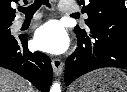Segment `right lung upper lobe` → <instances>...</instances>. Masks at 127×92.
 Masks as SVG:
<instances>
[{
	"label": "right lung upper lobe",
	"mask_w": 127,
	"mask_h": 92,
	"mask_svg": "<svg viewBox=\"0 0 127 92\" xmlns=\"http://www.w3.org/2000/svg\"><path fill=\"white\" fill-rule=\"evenodd\" d=\"M15 0H0V25L12 24L15 17V10L11 7ZM26 3V0H24Z\"/></svg>",
	"instance_id": "cb5924a9"
}]
</instances>
